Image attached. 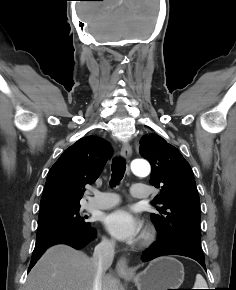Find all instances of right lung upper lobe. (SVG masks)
<instances>
[{
    "label": "right lung upper lobe",
    "instance_id": "1",
    "mask_svg": "<svg viewBox=\"0 0 236 290\" xmlns=\"http://www.w3.org/2000/svg\"><path fill=\"white\" fill-rule=\"evenodd\" d=\"M112 154L103 138L79 139L51 167L40 202V210L80 205L86 184H93Z\"/></svg>",
    "mask_w": 236,
    "mask_h": 290
}]
</instances>
